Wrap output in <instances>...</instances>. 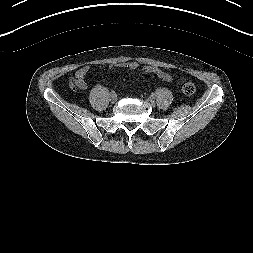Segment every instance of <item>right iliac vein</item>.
Instances as JSON below:
<instances>
[{
    "instance_id": "1",
    "label": "right iliac vein",
    "mask_w": 253,
    "mask_h": 253,
    "mask_svg": "<svg viewBox=\"0 0 253 253\" xmlns=\"http://www.w3.org/2000/svg\"><path fill=\"white\" fill-rule=\"evenodd\" d=\"M110 101H111L112 103L116 102V101H117V95H111V96H110Z\"/></svg>"
}]
</instances>
